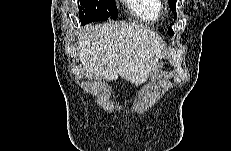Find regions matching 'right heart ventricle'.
<instances>
[{
	"label": "right heart ventricle",
	"instance_id": "e07e8e85",
	"mask_svg": "<svg viewBox=\"0 0 231 151\" xmlns=\"http://www.w3.org/2000/svg\"><path fill=\"white\" fill-rule=\"evenodd\" d=\"M129 4L131 11L146 23L157 21L163 9L159 0H130Z\"/></svg>",
	"mask_w": 231,
	"mask_h": 151
}]
</instances>
